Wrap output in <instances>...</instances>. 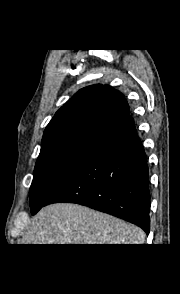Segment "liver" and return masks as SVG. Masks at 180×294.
<instances>
[{
    "label": "liver",
    "instance_id": "obj_1",
    "mask_svg": "<svg viewBox=\"0 0 180 294\" xmlns=\"http://www.w3.org/2000/svg\"><path fill=\"white\" fill-rule=\"evenodd\" d=\"M139 227L87 207L58 203L31 220L21 244H143Z\"/></svg>",
    "mask_w": 180,
    "mask_h": 294
}]
</instances>
